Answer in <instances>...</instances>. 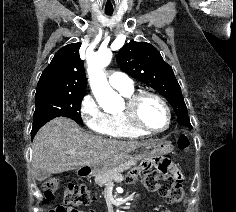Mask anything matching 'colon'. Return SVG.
I'll return each instance as SVG.
<instances>
[{
    "instance_id": "5ec220e1",
    "label": "colon",
    "mask_w": 236,
    "mask_h": 212,
    "mask_svg": "<svg viewBox=\"0 0 236 212\" xmlns=\"http://www.w3.org/2000/svg\"><path fill=\"white\" fill-rule=\"evenodd\" d=\"M179 150L188 152L191 147L190 139L186 135L178 138ZM157 168L151 163H144L141 168L133 169L128 175L129 182L141 180L144 186L152 192L166 197L171 203L184 202V190L173 165L166 159H161ZM59 187V180L54 177L46 178L41 183L45 201L55 197ZM63 204L53 208L50 212H80L78 208L89 205L94 195L82 183H68L62 193Z\"/></svg>"
}]
</instances>
